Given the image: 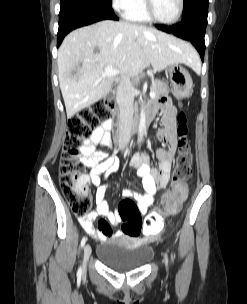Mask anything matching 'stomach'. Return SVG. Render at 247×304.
<instances>
[{
    "label": "stomach",
    "mask_w": 247,
    "mask_h": 304,
    "mask_svg": "<svg viewBox=\"0 0 247 304\" xmlns=\"http://www.w3.org/2000/svg\"><path fill=\"white\" fill-rule=\"evenodd\" d=\"M167 72L173 95L178 99L188 97L193 87V81L189 72L179 64L170 65Z\"/></svg>",
    "instance_id": "stomach-1"
}]
</instances>
